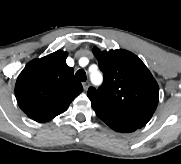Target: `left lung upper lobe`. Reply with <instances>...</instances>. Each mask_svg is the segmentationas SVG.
Here are the masks:
<instances>
[{
  "label": "left lung upper lobe",
  "mask_w": 181,
  "mask_h": 164,
  "mask_svg": "<svg viewBox=\"0 0 181 164\" xmlns=\"http://www.w3.org/2000/svg\"><path fill=\"white\" fill-rule=\"evenodd\" d=\"M104 74L103 84L87 95L98 117L125 122L138 128L151 119L159 100V87L145 64L126 50L93 49Z\"/></svg>",
  "instance_id": "obj_1"
}]
</instances>
